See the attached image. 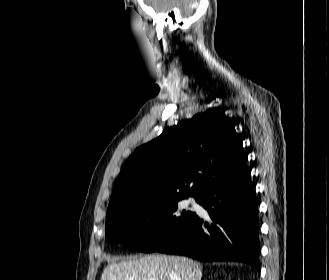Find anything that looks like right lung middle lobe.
Returning <instances> with one entry per match:
<instances>
[{
    "label": "right lung middle lobe",
    "mask_w": 329,
    "mask_h": 280,
    "mask_svg": "<svg viewBox=\"0 0 329 280\" xmlns=\"http://www.w3.org/2000/svg\"><path fill=\"white\" fill-rule=\"evenodd\" d=\"M184 198L147 196L108 209L106 238L130 250L156 251L175 238L195 216L180 205Z\"/></svg>",
    "instance_id": "obj_1"
}]
</instances>
